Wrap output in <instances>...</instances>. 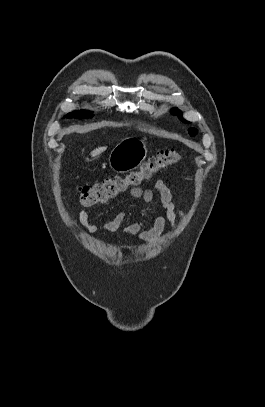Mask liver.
I'll list each match as a JSON object with an SVG mask.
<instances>
[{
	"mask_svg": "<svg viewBox=\"0 0 265 407\" xmlns=\"http://www.w3.org/2000/svg\"><path fill=\"white\" fill-rule=\"evenodd\" d=\"M106 149H107V147L96 148L95 150H93L91 152V156L95 157V156L99 155L100 153L104 152Z\"/></svg>",
	"mask_w": 265,
	"mask_h": 407,
	"instance_id": "obj_1",
	"label": "liver"
}]
</instances>
